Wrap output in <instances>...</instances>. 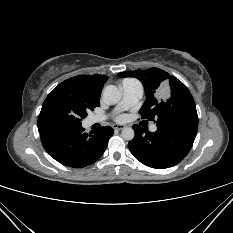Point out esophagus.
<instances>
[{"mask_svg":"<svg viewBox=\"0 0 233 233\" xmlns=\"http://www.w3.org/2000/svg\"><path fill=\"white\" fill-rule=\"evenodd\" d=\"M124 128H125L124 125H118V124H114V125H113V129H114V130H122V129H124Z\"/></svg>","mask_w":233,"mask_h":233,"instance_id":"esophagus-1","label":"esophagus"}]
</instances>
